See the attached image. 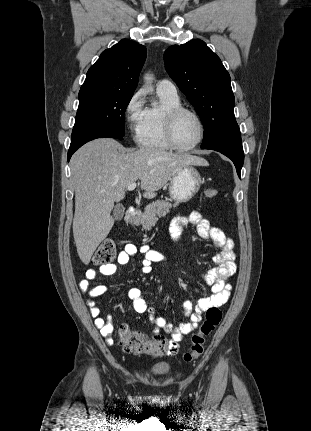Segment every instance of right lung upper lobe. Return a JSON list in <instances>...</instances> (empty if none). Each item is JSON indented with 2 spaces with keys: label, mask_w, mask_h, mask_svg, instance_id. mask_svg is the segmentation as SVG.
I'll return each instance as SVG.
<instances>
[{
  "label": "right lung upper lobe",
  "mask_w": 311,
  "mask_h": 431,
  "mask_svg": "<svg viewBox=\"0 0 311 431\" xmlns=\"http://www.w3.org/2000/svg\"><path fill=\"white\" fill-rule=\"evenodd\" d=\"M146 59V47L123 39L101 53L90 67L80 92L103 90L133 94Z\"/></svg>",
  "instance_id": "right-lung-upper-lobe-1"
}]
</instances>
